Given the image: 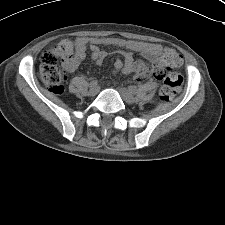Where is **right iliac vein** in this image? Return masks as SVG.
Returning a JSON list of instances; mask_svg holds the SVG:
<instances>
[{
	"mask_svg": "<svg viewBox=\"0 0 225 225\" xmlns=\"http://www.w3.org/2000/svg\"><path fill=\"white\" fill-rule=\"evenodd\" d=\"M99 86L98 85H92L90 86V89H89V95L90 96H95L98 92H99Z\"/></svg>",
	"mask_w": 225,
	"mask_h": 225,
	"instance_id": "obj_1",
	"label": "right iliac vein"
}]
</instances>
